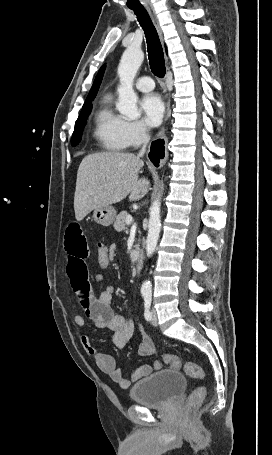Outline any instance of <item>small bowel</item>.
<instances>
[{"mask_svg":"<svg viewBox=\"0 0 272 455\" xmlns=\"http://www.w3.org/2000/svg\"><path fill=\"white\" fill-rule=\"evenodd\" d=\"M65 249L68 254L67 272L70 284L77 302L83 310V314L74 315L75 324L83 329L88 318L98 329L110 330L112 342L119 348L124 347L133 335L134 323L130 318L113 311L111 299L114 288L112 286H107L99 298L93 296L86 264L88 256L86 238L80 225L76 222L71 223L66 229ZM108 250L110 258L113 260L116 255V247L111 245ZM140 333L142 341L138 346V354L141 357H149L155 352L154 342L143 328L140 329ZM81 344L85 351L93 357L99 369L108 374L122 388H128L133 382L148 376L153 370L161 368L159 361H155L152 366L141 365L128 379L116 366L115 359L109 354L97 351L87 336L81 337Z\"/></svg>","mask_w":272,"mask_h":455,"instance_id":"obj_1","label":"small bowel"}]
</instances>
